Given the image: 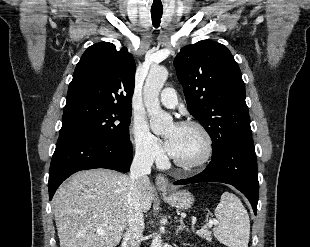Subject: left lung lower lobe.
Here are the masks:
<instances>
[{"label": "left lung lower lobe", "instance_id": "left-lung-lower-lobe-1", "mask_svg": "<svg viewBox=\"0 0 310 247\" xmlns=\"http://www.w3.org/2000/svg\"><path fill=\"white\" fill-rule=\"evenodd\" d=\"M197 182H221L233 185L248 198L256 215L259 182L252 138L240 139L229 144L219 153L212 155L211 162L204 171L175 184Z\"/></svg>", "mask_w": 310, "mask_h": 247}]
</instances>
